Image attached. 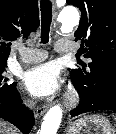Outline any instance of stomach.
I'll return each mask as SVG.
<instances>
[{"label":"stomach","instance_id":"1","mask_svg":"<svg viewBox=\"0 0 116 134\" xmlns=\"http://www.w3.org/2000/svg\"><path fill=\"white\" fill-rule=\"evenodd\" d=\"M109 120L103 116H84L69 124L66 134H112Z\"/></svg>","mask_w":116,"mask_h":134}]
</instances>
